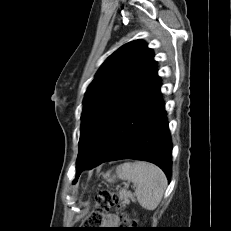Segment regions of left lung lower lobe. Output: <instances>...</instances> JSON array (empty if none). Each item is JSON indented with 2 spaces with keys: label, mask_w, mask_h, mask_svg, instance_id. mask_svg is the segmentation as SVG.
I'll use <instances>...</instances> for the list:
<instances>
[{
  "label": "left lung lower lobe",
  "mask_w": 231,
  "mask_h": 231,
  "mask_svg": "<svg viewBox=\"0 0 231 231\" xmlns=\"http://www.w3.org/2000/svg\"><path fill=\"white\" fill-rule=\"evenodd\" d=\"M160 87L156 65L108 124L85 164L76 168L75 181L85 169L120 159L152 162L170 179L172 143Z\"/></svg>",
  "instance_id": "0a47b994"
}]
</instances>
